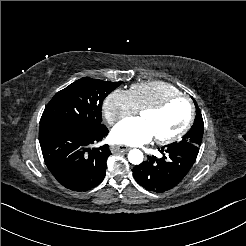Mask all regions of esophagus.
I'll list each match as a JSON object with an SVG mask.
<instances>
[{"instance_id": "esophagus-1", "label": "esophagus", "mask_w": 246, "mask_h": 246, "mask_svg": "<svg viewBox=\"0 0 246 246\" xmlns=\"http://www.w3.org/2000/svg\"><path fill=\"white\" fill-rule=\"evenodd\" d=\"M110 149L112 153L127 152L130 150V148L125 145H113Z\"/></svg>"}]
</instances>
